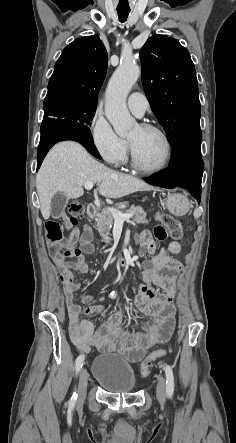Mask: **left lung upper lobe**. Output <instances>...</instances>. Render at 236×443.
I'll return each mask as SVG.
<instances>
[{
    "label": "left lung upper lobe",
    "instance_id": "obj_1",
    "mask_svg": "<svg viewBox=\"0 0 236 443\" xmlns=\"http://www.w3.org/2000/svg\"><path fill=\"white\" fill-rule=\"evenodd\" d=\"M146 96L171 144L200 129L198 82L190 54L178 40L153 35L140 51Z\"/></svg>",
    "mask_w": 236,
    "mask_h": 443
}]
</instances>
